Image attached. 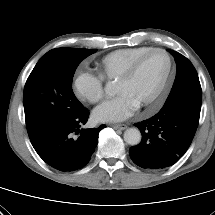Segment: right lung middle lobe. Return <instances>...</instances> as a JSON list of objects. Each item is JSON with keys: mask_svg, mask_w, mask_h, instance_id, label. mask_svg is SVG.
<instances>
[{"mask_svg": "<svg viewBox=\"0 0 215 215\" xmlns=\"http://www.w3.org/2000/svg\"><path fill=\"white\" fill-rule=\"evenodd\" d=\"M96 50L57 48L47 52L29 75L23 104L30 139L85 107L72 90L76 68Z\"/></svg>", "mask_w": 215, "mask_h": 215, "instance_id": "obj_1", "label": "right lung middle lobe"}]
</instances>
